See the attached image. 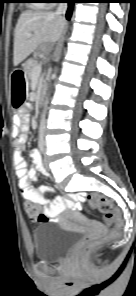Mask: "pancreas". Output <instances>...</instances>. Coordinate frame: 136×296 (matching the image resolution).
Listing matches in <instances>:
<instances>
[{"label":"pancreas","mask_w":136,"mask_h":296,"mask_svg":"<svg viewBox=\"0 0 136 296\" xmlns=\"http://www.w3.org/2000/svg\"><path fill=\"white\" fill-rule=\"evenodd\" d=\"M37 66V61L35 59H29L24 65V71L28 78H32L33 69Z\"/></svg>","instance_id":"pancreas-1"}]
</instances>
